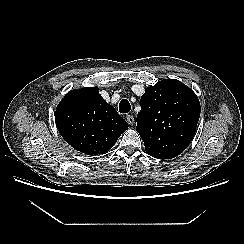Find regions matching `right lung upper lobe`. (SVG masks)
I'll use <instances>...</instances> for the list:
<instances>
[{"instance_id":"1","label":"right lung upper lobe","mask_w":244,"mask_h":244,"mask_svg":"<svg viewBox=\"0 0 244 244\" xmlns=\"http://www.w3.org/2000/svg\"><path fill=\"white\" fill-rule=\"evenodd\" d=\"M55 122L64 140L87 155L104 154L128 128L97 87L67 93L56 108Z\"/></svg>"}]
</instances>
